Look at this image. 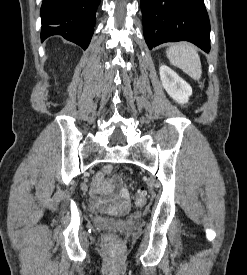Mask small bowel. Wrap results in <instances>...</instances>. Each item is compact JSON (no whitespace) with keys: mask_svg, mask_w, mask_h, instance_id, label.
I'll return each instance as SVG.
<instances>
[{"mask_svg":"<svg viewBox=\"0 0 247 275\" xmlns=\"http://www.w3.org/2000/svg\"><path fill=\"white\" fill-rule=\"evenodd\" d=\"M110 172L111 167L106 166L102 173L108 175ZM90 194L93 202L103 209L124 211L130 205L129 194L117 176L105 179L99 186L93 182Z\"/></svg>","mask_w":247,"mask_h":275,"instance_id":"c3829d8e","label":"small bowel"}]
</instances>
